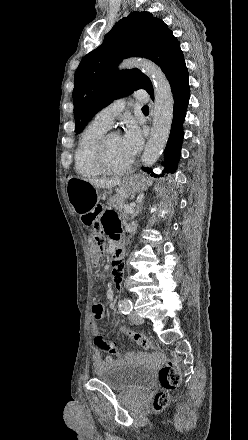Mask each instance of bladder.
I'll use <instances>...</instances> for the list:
<instances>
[{
    "mask_svg": "<svg viewBox=\"0 0 248 440\" xmlns=\"http://www.w3.org/2000/svg\"><path fill=\"white\" fill-rule=\"evenodd\" d=\"M97 378L114 390L143 391L152 385L154 374L148 367L120 364L97 372Z\"/></svg>",
    "mask_w": 248,
    "mask_h": 440,
    "instance_id": "obj_1",
    "label": "bladder"
}]
</instances>
